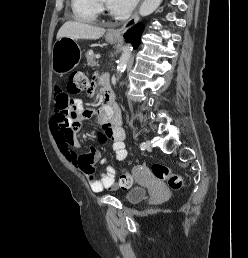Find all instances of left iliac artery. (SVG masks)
<instances>
[{"label": "left iliac artery", "mask_w": 248, "mask_h": 258, "mask_svg": "<svg viewBox=\"0 0 248 258\" xmlns=\"http://www.w3.org/2000/svg\"><path fill=\"white\" fill-rule=\"evenodd\" d=\"M140 148H141V150L145 149V143L144 142L140 144Z\"/></svg>", "instance_id": "left-iliac-artery-1"}]
</instances>
